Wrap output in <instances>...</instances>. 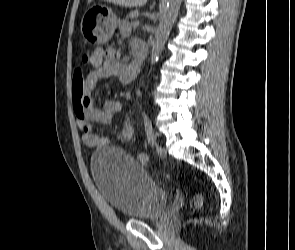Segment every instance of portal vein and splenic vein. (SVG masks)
Wrapping results in <instances>:
<instances>
[{"label": "portal vein and splenic vein", "instance_id": "1", "mask_svg": "<svg viewBox=\"0 0 295 250\" xmlns=\"http://www.w3.org/2000/svg\"><path fill=\"white\" fill-rule=\"evenodd\" d=\"M139 24H140V22H139V21H135V22L133 23V26H134V27H138V26H139Z\"/></svg>", "mask_w": 295, "mask_h": 250}]
</instances>
